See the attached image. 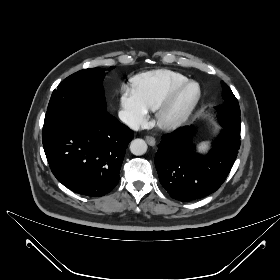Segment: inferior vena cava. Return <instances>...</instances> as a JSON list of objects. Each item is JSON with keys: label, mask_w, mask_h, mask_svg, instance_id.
Instances as JSON below:
<instances>
[{"label": "inferior vena cava", "mask_w": 280, "mask_h": 280, "mask_svg": "<svg viewBox=\"0 0 280 280\" xmlns=\"http://www.w3.org/2000/svg\"><path fill=\"white\" fill-rule=\"evenodd\" d=\"M120 120L125 123L128 127H130L134 131H138L140 128V124L138 120L129 112L125 110L119 111L118 114Z\"/></svg>", "instance_id": "inferior-vena-cava-1"}]
</instances>
